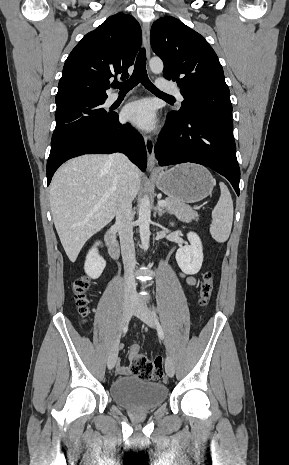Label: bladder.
<instances>
[{
    "instance_id": "bladder-1",
    "label": "bladder",
    "mask_w": 289,
    "mask_h": 465,
    "mask_svg": "<svg viewBox=\"0 0 289 465\" xmlns=\"http://www.w3.org/2000/svg\"><path fill=\"white\" fill-rule=\"evenodd\" d=\"M109 395L123 407L153 409L165 402L168 388L158 381L128 376L115 379L109 387Z\"/></svg>"
}]
</instances>
